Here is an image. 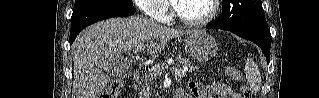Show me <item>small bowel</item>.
<instances>
[{"label": "small bowel", "mask_w": 319, "mask_h": 98, "mask_svg": "<svg viewBox=\"0 0 319 98\" xmlns=\"http://www.w3.org/2000/svg\"><path fill=\"white\" fill-rule=\"evenodd\" d=\"M188 89L194 98H240L233 93L232 88L223 82H214L211 85H204L196 81L188 82Z\"/></svg>", "instance_id": "1"}]
</instances>
